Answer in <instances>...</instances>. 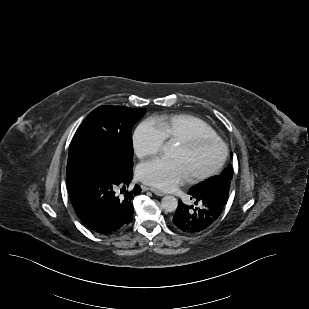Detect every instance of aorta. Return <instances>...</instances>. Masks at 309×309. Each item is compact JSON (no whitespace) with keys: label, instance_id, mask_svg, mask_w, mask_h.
<instances>
[{"label":"aorta","instance_id":"aorta-1","mask_svg":"<svg viewBox=\"0 0 309 309\" xmlns=\"http://www.w3.org/2000/svg\"><path fill=\"white\" fill-rule=\"evenodd\" d=\"M170 145L167 144L164 146V152L169 153ZM161 206L166 212H174L177 209L178 201L174 196L167 195L162 198Z\"/></svg>","mask_w":309,"mask_h":309}]
</instances>
